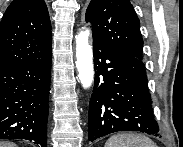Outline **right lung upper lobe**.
Returning a JSON list of instances; mask_svg holds the SVG:
<instances>
[{"instance_id": "right-lung-upper-lobe-1", "label": "right lung upper lobe", "mask_w": 183, "mask_h": 147, "mask_svg": "<svg viewBox=\"0 0 183 147\" xmlns=\"http://www.w3.org/2000/svg\"><path fill=\"white\" fill-rule=\"evenodd\" d=\"M51 40L44 0H14L0 23V71L48 53Z\"/></svg>"}]
</instances>
